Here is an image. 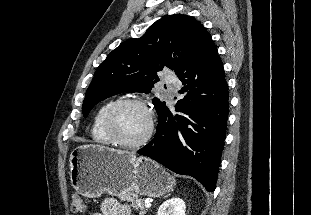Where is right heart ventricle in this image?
I'll return each instance as SVG.
<instances>
[{
	"instance_id": "obj_1",
	"label": "right heart ventricle",
	"mask_w": 311,
	"mask_h": 215,
	"mask_svg": "<svg viewBox=\"0 0 311 215\" xmlns=\"http://www.w3.org/2000/svg\"><path fill=\"white\" fill-rule=\"evenodd\" d=\"M117 101L118 100H109L104 102L99 106L94 114L91 126V135L93 140L99 144L109 145L113 143L104 129V117L108 109Z\"/></svg>"
}]
</instances>
